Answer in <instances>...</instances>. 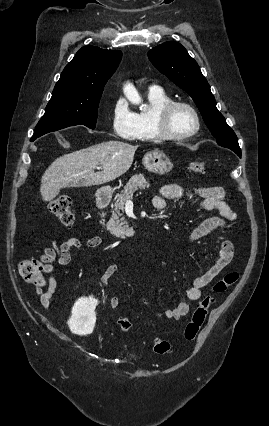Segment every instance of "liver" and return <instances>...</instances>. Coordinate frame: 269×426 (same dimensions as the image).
I'll list each match as a JSON object with an SVG mask.
<instances>
[{
	"label": "liver",
	"instance_id": "liver-1",
	"mask_svg": "<svg viewBox=\"0 0 269 426\" xmlns=\"http://www.w3.org/2000/svg\"><path fill=\"white\" fill-rule=\"evenodd\" d=\"M137 147L120 141L102 142L55 159L42 178L40 193L46 202L65 187L101 185L129 170ZM102 170L95 172L97 166Z\"/></svg>",
	"mask_w": 269,
	"mask_h": 426
}]
</instances>
